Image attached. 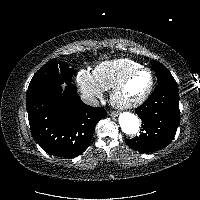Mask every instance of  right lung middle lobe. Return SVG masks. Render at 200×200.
Returning a JSON list of instances; mask_svg holds the SVG:
<instances>
[{
    "mask_svg": "<svg viewBox=\"0 0 200 200\" xmlns=\"http://www.w3.org/2000/svg\"><path fill=\"white\" fill-rule=\"evenodd\" d=\"M72 76L73 69H70L66 63H58L56 59H52L37 71L28 89L49 84H69Z\"/></svg>",
    "mask_w": 200,
    "mask_h": 200,
    "instance_id": "right-lung-middle-lobe-1",
    "label": "right lung middle lobe"
}]
</instances>
